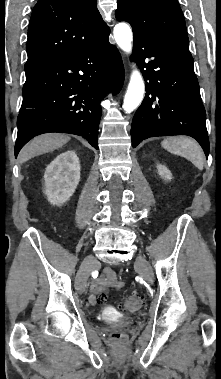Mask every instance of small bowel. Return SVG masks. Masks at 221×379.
Listing matches in <instances>:
<instances>
[{
    "instance_id": "1",
    "label": "small bowel",
    "mask_w": 221,
    "mask_h": 379,
    "mask_svg": "<svg viewBox=\"0 0 221 379\" xmlns=\"http://www.w3.org/2000/svg\"><path fill=\"white\" fill-rule=\"evenodd\" d=\"M122 285L121 281L117 278L116 273L110 268L106 267L103 270V276L96 278L90 286L89 301L92 304L98 302L99 296L103 295L104 292L110 287H120Z\"/></svg>"
}]
</instances>
